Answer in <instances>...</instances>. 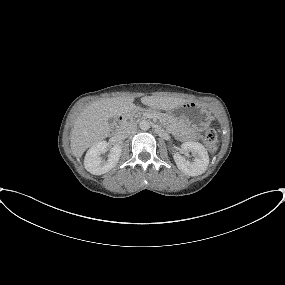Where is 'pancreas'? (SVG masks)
Segmentation results:
<instances>
[{"label": "pancreas", "instance_id": "pancreas-1", "mask_svg": "<svg viewBox=\"0 0 285 285\" xmlns=\"http://www.w3.org/2000/svg\"><path fill=\"white\" fill-rule=\"evenodd\" d=\"M147 115L155 116L161 119L162 121L166 122L167 128L170 131L179 129L180 124H181L178 119L171 117V116H167L166 114L156 113V112H152V111L145 110V109H135L132 111V118L138 117V116L146 117Z\"/></svg>", "mask_w": 285, "mask_h": 285}]
</instances>
